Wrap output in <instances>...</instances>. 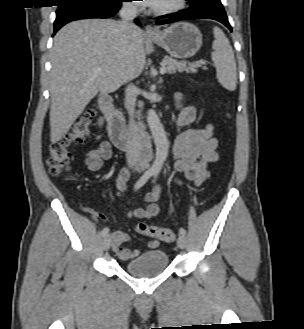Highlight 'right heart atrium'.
Listing matches in <instances>:
<instances>
[{
	"mask_svg": "<svg viewBox=\"0 0 304 329\" xmlns=\"http://www.w3.org/2000/svg\"><path fill=\"white\" fill-rule=\"evenodd\" d=\"M132 2H137V1H132ZM129 9L132 11H137L139 8L137 7V5H134V6H130Z\"/></svg>",
	"mask_w": 304,
	"mask_h": 329,
	"instance_id": "obj_1",
	"label": "right heart atrium"
}]
</instances>
